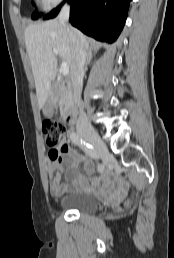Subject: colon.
Masks as SVG:
<instances>
[{
	"mask_svg": "<svg viewBox=\"0 0 174 258\" xmlns=\"http://www.w3.org/2000/svg\"><path fill=\"white\" fill-rule=\"evenodd\" d=\"M42 130L47 144L51 147H55L61 142L66 132V126L60 121L46 120L42 124ZM52 155L53 157H58L59 152L54 150Z\"/></svg>",
	"mask_w": 174,
	"mask_h": 258,
	"instance_id": "obj_1",
	"label": "colon"
}]
</instances>
